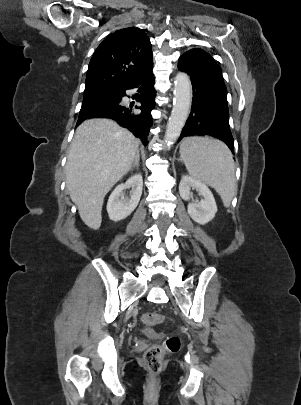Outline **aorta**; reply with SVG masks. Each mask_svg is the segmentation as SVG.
I'll return each instance as SVG.
<instances>
[{"label": "aorta", "instance_id": "aorta-1", "mask_svg": "<svg viewBox=\"0 0 301 405\" xmlns=\"http://www.w3.org/2000/svg\"><path fill=\"white\" fill-rule=\"evenodd\" d=\"M191 107V82L188 75L179 72L174 84V104L167 123L165 144L170 147L180 136Z\"/></svg>", "mask_w": 301, "mask_h": 405}]
</instances>
